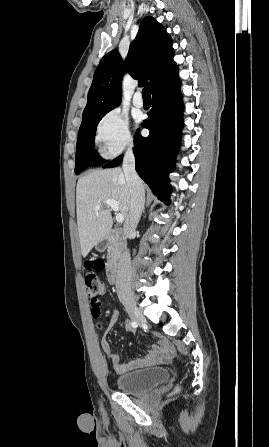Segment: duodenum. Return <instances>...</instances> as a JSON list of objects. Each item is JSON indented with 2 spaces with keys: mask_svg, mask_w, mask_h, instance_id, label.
<instances>
[{
  "mask_svg": "<svg viewBox=\"0 0 269 447\" xmlns=\"http://www.w3.org/2000/svg\"><path fill=\"white\" fill-rule=\"evenodd\" d=\"M106 239L114 241L119 246H122L124 242V234L121 229L113 228L107 232ZM117 278H118V264L112 263L107 267V279L109 283L115 284L117 282Z\"/></svg>",
  "mask_w": 269,
  "mask_h": 447,
  "instance_id": "duodenum-1",
  "label": "duodenum"
}]
</instances>
